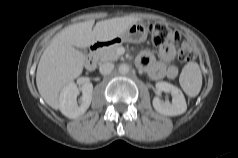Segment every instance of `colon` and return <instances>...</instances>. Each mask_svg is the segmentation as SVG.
<instances>
[{"label":"colon","instance_id":"obj_1","mask_svg":"<svg viewBox=\"0 0 238 158\" xmlns=\"http://www.w3.org/2000/svg\"><path fill=\"white\" fill-rule=\"evenodd\" d=\"M151 39L155 46H164L168 43H178V59L181 62H190L195 60L196 53L193 47L182 39L180 32L167 26L164 23L156 22L150 24Z\"/></svg>","mask_w":238,"mask_h":158}]
</instances>
